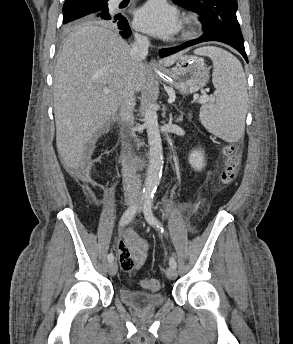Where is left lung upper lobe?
<instances>
[{
  "label": "left lung upper lobe",
  "mask_w": 293,
  "mask_h": 344,
  "mask_svg": "<svg viewBox=\"0 0 293 344\" xmlns=\"http://www.w3.org/2000/svg\"><path fill=\"white\" fill-rule=\"evenodd\" d=\"M173 2L198 13L205 33L223 35L244 43L236 17L237 0H173Z\"/></svg>",
  "instance_id": "5c2ea615"
}]
</instances>
